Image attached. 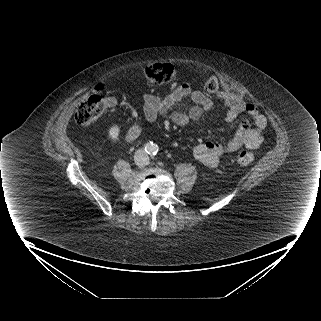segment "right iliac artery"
Masks as SVG:
<instances>
[{
  "label": "right iliac artery",
  "instance_id": "82829eb1",
  "mask_svg": "<svg viewBox=\"0 0 321 321\" xmlns=\"http://www.w3.org/2000/svg\"><path fill=\"white\" fill-rule=\"evenodd\" d=\"M145 151H150V147H149V145L147 144V145H145Z\"/></svg>",
  "mask_w": 321,
  "mask_h": 321
}]
</instances>
